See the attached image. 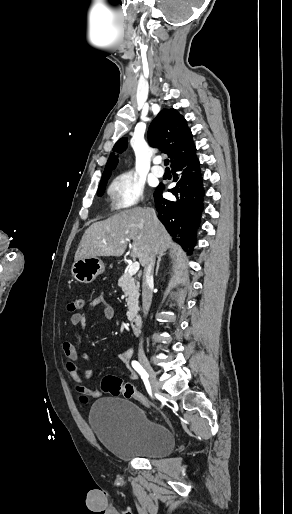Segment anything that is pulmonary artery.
<instances>
[{"label":"pulmonary artery","instance_id":"obj_1","mask_svg":"<svg viewBox=\"0 0 292 514\" xmlns=\"http://www.w3.org/2000/svg\"><path fill=\"white\" fill-rule=\"evenodd\" d=\"M153 173L155 176L157 177H161L163 175V172L162 171H159V170H153Z\"/></svg>","mask_w":292,"mask_h":514}]
</instances>
